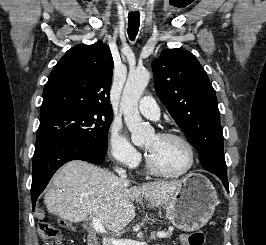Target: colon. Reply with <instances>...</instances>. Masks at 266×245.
<instances>
[{
	"mask_svg": "<svg viewBox=\"0 0 266 245\" xmlns=\"http://www.w3.org/2000/svg\"><path fill=\"white\" fill-rule=\"evenodd\" d=\"M38 230L45 245H64L58 230L53 226L48 216L40 218ZM205 238V231L196 230L185 234L183 240L185 245H204Z\"/></svg>",
	"mask_w": 266,
	"mask_h": 245,
	"instance_id": "obj_1",
	"label": "colon"
}]
</instances>
